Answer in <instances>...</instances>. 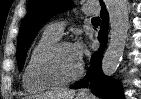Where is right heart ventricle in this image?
I'll return each mask as SVG.
<instances>
[{
  "instance_id": "1",
  "label": "right heart ventricle",
  "mask_w": 141,
  "mask_h": 99,
  "mask_svg": "<svg viewBox=\"0 0 141 99\" xmlns=\"http://www.w3.org/2000/svg\"><path fill=\"white\" fill-rule=\"evenodd\" d=\"M57 38L43 33L37 44L34 46L22 76L24 89L30 93H39L48 90L54 86L39 81L35 76V64L40 54L51 44L56 42Z\"/></svg>"
}]
</instances>
